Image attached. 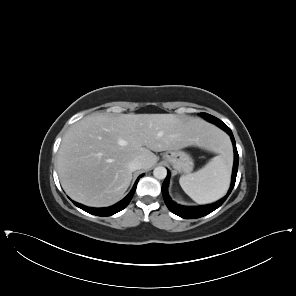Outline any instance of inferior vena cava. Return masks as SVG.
<instances>
[{
	"mask_svg": "<svg viewBox=\"0 0 296 296\" xmlns=\"http://www.w3.org/2000/svg\"><path fill=\"white\" fill-rule=\"evenodd\" d=\"M142 167H143V164L139 159H134V160L130 161L128 164V168L132 172L142 169Z\"/></svg>",
	"mask_w": 296,
	"mask_h": 296,
	"instance_id": "obj_1",
	"label": "inferior vena cava"
}]
</instances>
